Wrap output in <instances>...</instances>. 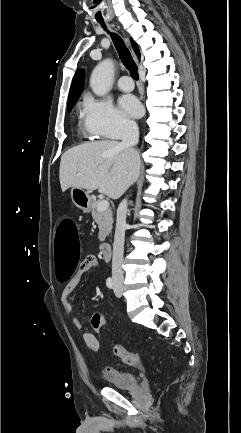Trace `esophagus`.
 Wrapping results in <instances>:
<instances>
[{
	"instance_id": "obj_1",
	"label": "esophagus",
	"mask_w": 241,
	"mask_h": 433,
	"mask_svg": "<svg viewBox=\"0 0 241 433\" xmlns=\"http://www.w3.org/2000/svg\"><path fill=\"white\" fill-rule=\"evenodd\" d=\"M133 55H134V57L136 58V55H135V53L133 52Z\"/></svg>"
}]
</instances>
